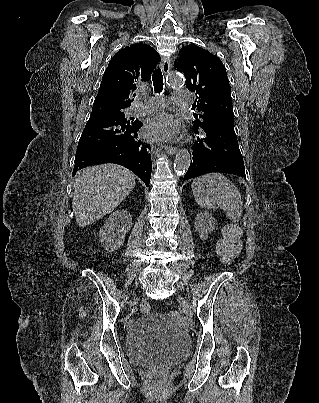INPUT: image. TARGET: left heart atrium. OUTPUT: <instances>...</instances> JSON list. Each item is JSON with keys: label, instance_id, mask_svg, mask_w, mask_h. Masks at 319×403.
<instances>
[{"label": "left heart atrium", "instance_id": "left-heart-atrium-1", "mask_svg": "<svg viewBox=\"0 0 319 403\" xmlns=\"http://www.w3.org/2000/svg\"><path fill=\"white\" fill-rule=\"evenodd\" d=\"M145 135L153 140H167L177 136L178 124L168 113H159L150 117L144 127Z\"/></svg>", "mask_w": 319, "mask_h": 403}]
</instances>
